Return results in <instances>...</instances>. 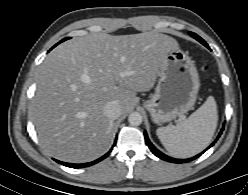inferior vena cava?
I'll return each mask as SVG.
<instances>
[{
  "label": "inferior vena cava",
  "instance_id": "1",
  "mask_svg": "<svg viewBox=\"0 0 248 195\" xmlns=\"http://www.w3.org/2000/svg\"><path fill=\"white\" fill-rule=\"evenodd\" d=\"M104 114L111 120H115L121 115V108L116 101H110L104 106Z\"/></svg>",
  "mask_w": 248,
  "mask_h": 195
}]
</instances>
